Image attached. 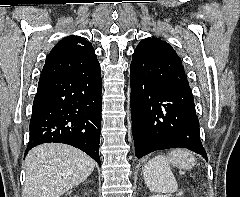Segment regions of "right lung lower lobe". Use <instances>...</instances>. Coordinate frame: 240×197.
<instances>
[{
	"label": "right lung lower lobe",
	"instance_id": "right-lung-lower-lobe-1",
	"mask_svg": "<svg viewBox=\"0 0 240 197\" xmlns=\"http://www.w3.org/2000/svg\"><path fill=\"white\" fill-rule=\"evenodd\" d=\"M101 92L100 67L83 74L41 78L27 151L43 143H65L81 149L100 165Z\"/></svg>",
	"mask_w": 240,
	"mask_h": 197
}]
</instances>
